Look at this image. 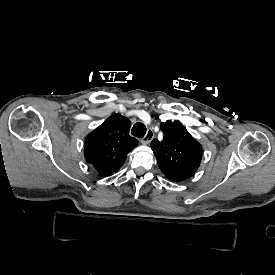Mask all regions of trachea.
<instances>
[{"instance_id":"1","label":"trachea","mask_w":275,"mask_h":275,"mask_svg":"<svg viewBox=\"0 0 275 275\" xmlns=\"http://www.w3.org/2000/svg\"><path fill=\"white\" fill-rule=\"evenodd\" d=\"M131 133L133 136L142 138L146 133V126L143 123H136L134 124Z\"/></svg>"}]
</instances>
